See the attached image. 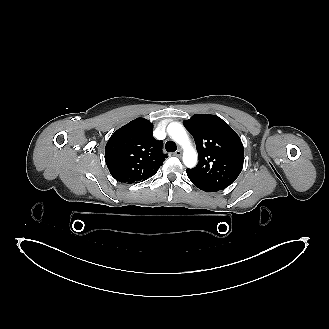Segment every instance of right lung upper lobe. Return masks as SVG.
<instances>
[{
  "label": "right lung upper lobe",
  "instance_id": "1",
  "mask_svg": "<svg viewBox=\"0 0 329 329\" xmlns=\"http://www.w3.org/2000/svg\"><path fill=\"white\" fill-rule=\"evenodd\" d=\"M166 157L162 141L153 137V124L144 118L118 129L105 147V161L111 175L128 184L152 177Z\"/></svg>",
  "mask_w": 329,
  "mask_h": 329
}]
</instances>
